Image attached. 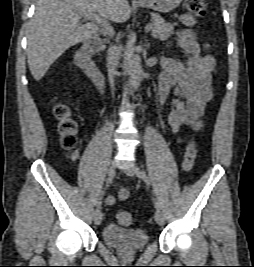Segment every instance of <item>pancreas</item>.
Wrapping results in <instances>:
<instances>
[{
	"label": "pancreas",
	"mask_w": 254,
	"mask_h": 267,
	"mask_svg": "<svg viewBox=\"0 0 254 267\" xmlns=\"http://www.w3.org/2000/svg\"><path fill=\"white\" fill-rule=\"evenodd\" d=\"M151 35L160 40H166L173 33L172 24L165 22L159 14H151Z\"/></svg>",
	"instance_id": "cf45deb5"
}]
</instances>
